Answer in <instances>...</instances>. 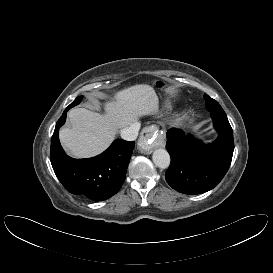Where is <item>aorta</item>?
I'll return each mask as SVG.
<instances>
[{"mask_svg":"<svg viewBox=\"0 0 273 273\" xmlns=\"http://www.w3.org/2000/svg\"><path fill=\"white\" fill-rule=\"evenodd\" d=\"M152 159L154 164L159 168L165 169L170 165V155L165 149H156L153 152Z\"/></svg>","mask_w":273,"mask_h":273,"instance_id":"762f6f07","label":"aorta"}]
</instances>
